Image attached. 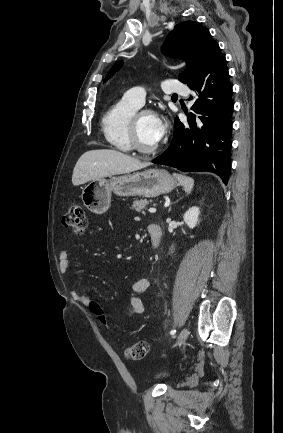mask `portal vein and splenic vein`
Returning a JSON list of instances; mask_svg holds the SVG:
<instances>
[{"instance_id":"18ae733b","label":"portal vein and splenic vein","mask_w":283,"mask_h":433,"mask_svg":"<svg viewBox=\"0 0 283 433\" xmlns=\"http://www.w3.org/2000/svg\"><path fill=\"white\" fill-rule=\"evenodd\" d=\"M149 212H156V208H148Z\"/></svg>"}]
</instances>
